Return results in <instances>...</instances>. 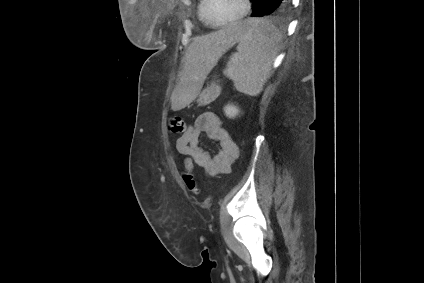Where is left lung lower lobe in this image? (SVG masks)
Returning a JSON list of instances; mask_svg holds the SVG:
<instances>
[{
    "instance_id": "0a47b994",
    "label": "left lung lower lobe",
    "mask_w": 424,
    "mask_h": 283,
    "mask_svg": "<svg viewBox=\"0 0 424 283\" xmlns=\"http://www.w3.org/2000/svg\"><path fill=\"white\" fill-rule=\"evenodd\" d=\"M291 0H257L253 8L252 17H265L275 14L279 10L285 11Z\"/></svg>"
}]
</instances>
